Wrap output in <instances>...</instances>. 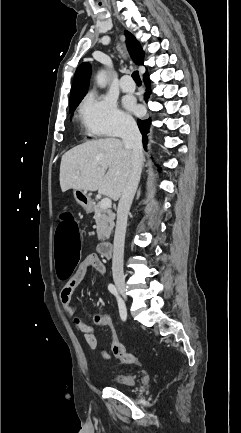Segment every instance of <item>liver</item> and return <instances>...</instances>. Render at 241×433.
<instances>
[{
    "label": "liver",
    "instance_id": "6515ba94",
    "mask_svg": "<svg viewBox=\"0 0 241 433\" xmlns=\"http://www.w3.org/2000/svg\"><path fill=\"white\" fill-rule=\"evenodd\" d=\"M132 171V150L115 138L98 139L67 151L60 164V187L98 191L117 201Z\"/></svg>",
    "mask_w": 241,
    "mask_h": 433
}]
</instances>
